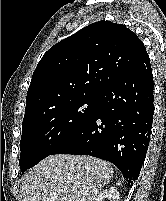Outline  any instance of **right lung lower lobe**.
<instances>
[{
  "mask_svg": "<svg viewBox=\"0 0 166 201\" xmlns=\"http://www.w3.org/2000/svg\"><path fill=\"white\" fill-rule=\"evenodd\" d=\"M153 87L146 54L98 95L93 115L50 155H90L107 160L118 167L132 187L150 141Z\"/></svg>",
  "mask_w": 166,
  "mask_h": 201,
  "instance_id": "98d812e1",
  "label": "right lung lower lobe"
}]
</instances>
